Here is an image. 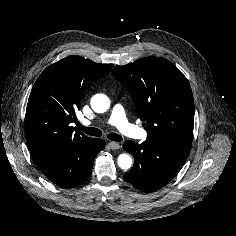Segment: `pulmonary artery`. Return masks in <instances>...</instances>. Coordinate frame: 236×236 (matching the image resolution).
I'll use <instances>...</instances> for the list:
<instances>
[{
  "mask_svg": "<svg viewBox=\"0 0 236 236\" xmlns=\"http://www.w3.org/2000/svg\"><path fill=\"white\" fill-rule=\"evenodd\" d=\"M108 122L126 136L139 139H145L147 137V133L144 129L128 121L125 110L121 104L113 106ZM84 125L90 126L91 122L85 121Z\"/></svg>",
  "mask_w": 236,
  "mask_h": 236,
  "instance_id": "obj_1",
  "label": "pulmonary artery"
}]
</instances>
